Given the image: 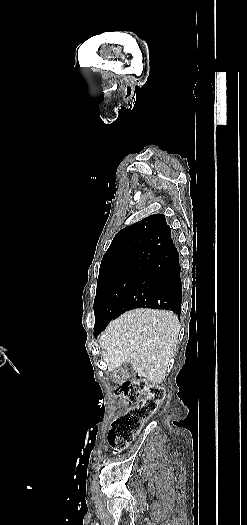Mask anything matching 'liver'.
<instances>
[{"label": "liver", "instance_id": "liver-1", "mask_svg": "<svg viewBox=\"0 0 247 525\" xmlns=\"http://www.w3.org/2000/svg\"><path fill=\"white\" fill-rule=\"evenodd\" d=\"M180 323L158 309H132L109 323L99 337L108 371L130 363L152 385H161L174 363Z\"/></svg>", "mask_w": 247, "mask_h": 525}]
</instances>
